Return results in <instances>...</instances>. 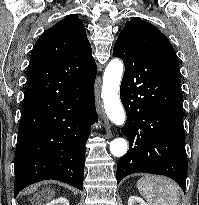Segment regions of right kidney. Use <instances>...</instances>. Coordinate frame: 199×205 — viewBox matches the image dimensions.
I'll return each instance as SVG.
<instances>
[{
    "instance_id": "ca27d5eb",
    "label": "right kidney",
    "mask_w": 199,
    "mask_h": 205,
    "mask_svg": "<svg viewBox=\"0 0 199 205\" xmlns=\"http://www.w3.org/2000/svg\"><path fill=\"white\" fill-rule=\"evenodd\" d=\"M45 205H69V201L66 198L60 197L52 200Z\"/></svg>"
}]
</instances>
